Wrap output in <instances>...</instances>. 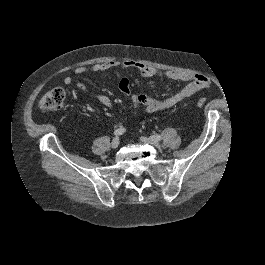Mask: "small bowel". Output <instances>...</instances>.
<instances>
[{
  "label": "small bowel",
  "mask_w": 265,
  "mask_h": 265,
  "mask_svg": "<svg viewBox=\"0 0 265 265\" xmlns=\"http://www.w3.org/2000/svg\"><path fill=\"white\" fill-rule=\"evenodd\" d=\"M129 68L138 70L141 76L146 78L159 77L181 80L186 81L187 84L178 92L164 99H154L142 94H132L130 90L129 80L125 77H122L120 74L121 70ZM109 70H114L118 79L119 88L123 92V94L130 99L132 106L135 109L142 107L149 113H158L170 109L181 103L182 101L187 100L196 92L203 88H206L209 85V80L203 75L188 71L161 70L137 61H108L104 63H97L90 67H78L75 69L74 73L76 75H81L87 71L104 73ZM63 82L66 86H69L73 83V79L72 77L67 76L64 78ZM77 87L81 92L89 94L106 108H113V102L107 95L88 92L86 85L81 81L77 82Z\"/></svg>",
  "instance_id": "obj_1"
}]
</instances>
